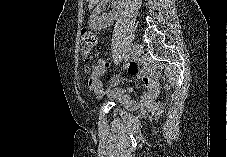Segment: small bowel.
<instances>
[{
    "mask_svg": "<svg viewBox=\"0 0 227 157\" xmlns=\"http://www.w3.org/2000/svg\"><path fill=\"white\" fill-rule=\"evenodd\" d=\"M109 64L105 60H101L94 69L90 82L88 84L91 92L99 94L102 92L101 77L106 75ZM128 72L131 75L137 76L142 82L147 85V90L142 95L139 101L130 98V88H115L110 93V97L121 103L128 110H136L141 107H147L153 103L158 96V85L155 75L151 72L145 71L139 67L136 62H131L128 65Z\"/></svg>",
    "mask_w": 227,
    "mask_h": 157,
    "instance_id": "small-bowel-1",
    "label": "small bowel"
}]
</instances>
